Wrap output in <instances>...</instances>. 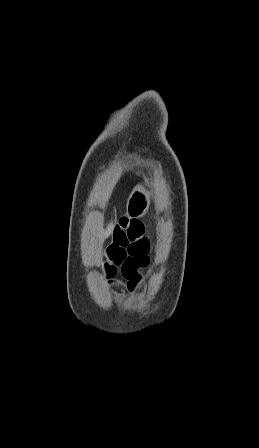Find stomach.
<instances>
[{
	"instance_id": "0dacf381",
	"label": "stomach",
	"mask_w": 259,
	"mask_h": 448,
	"mask_svg": "<svg viewBox=\"0 0 259 448\" xmlns=\"http://www.w3.org/2000/svg\"><path fill=\"white\" fill-rule=\"evenodd\" d=\"M151 196L143 186H135L134 190H132L127 206H126V214L129 218H141L146 214L149 206H150Z\"/></svg>"
}]
</instances>
